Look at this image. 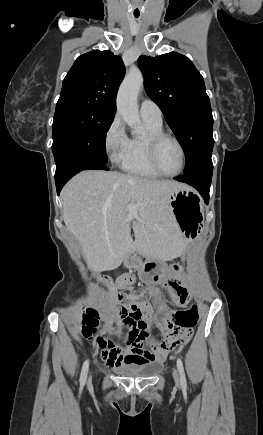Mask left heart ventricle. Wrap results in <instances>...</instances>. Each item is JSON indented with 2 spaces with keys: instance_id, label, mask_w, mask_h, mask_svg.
<instances>
[{
  "instance_id": "b2bd125f",
  "label": "left heart ventricle",
  "mask_w": 263,
  "mask_h": 435,
  "mask_svg": "<svg viewBox=\"0 0 263 435\" xmlns=\"http://www.w3.org/2000/svg\"><path fill=\"white\" fill-rule=\"evenodd\" d=\"M160 167L167 173H175L182 165V155L179 147L172 140H164L157 153Z\"/></svg>"
}]
</instances>
